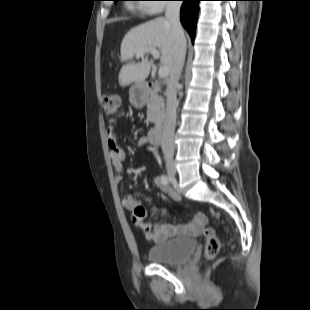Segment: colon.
<instances>
[{"label": "colon", "instance_id": "5ec220e1", "mask_svg": "<svg viewBox=\"0 0 310 310\" xmlns=\"http://www.w3.org/2000/svg\"><path fill=\"white\" fill-rule=\"evenodd\" d=\"M103 111L108 116H114L120 109V100L116 95H104L101 99ZM134 216L143 219L146 211L143 207L137 206L134 210ZM220 241L212 228L205 231V256L213 259L219 252Z\"/></svg>", "mask_w": 310, "mask_h": 310}]
</instances>
